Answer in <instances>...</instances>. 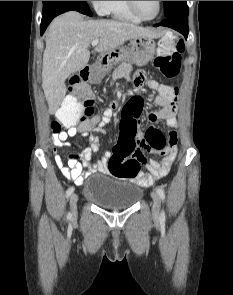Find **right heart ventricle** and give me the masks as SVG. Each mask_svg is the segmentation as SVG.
Here are the masks:
<instances>
[{"instance_id": "1", "label": "right heart ventricle", "mask_w": 233, "mask_h": 295, "mask_svg": "<svg viewBox=\"0 0 233 295\" xmlns=\"http://www.w3.org/2000/svg\"><path fill=\"white\" fill-rule=\"evenodd\" d=\"M108 14L112 17L130 21V22H139L140 20L130 11L127 1H110Z\"/></svg>"}]
</instances>
